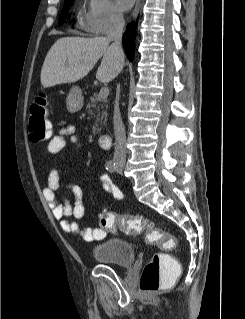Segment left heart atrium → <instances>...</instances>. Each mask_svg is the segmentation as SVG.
I'll use <instances>...</instances> for the list:
<instances>
[{
  "mask_svg": "<svg viewBox=\"0 0 245 319\" xmlns=\"http://www.w3.org/2000/svg\"><path fill=\"white\" fill-rule=\"evenodd\" d=\"M116 2L122 11H127L133 6L135 0H116Z\"/></svg>",
  "mask_w": 245,
  "mask_h": 319,
  "instance_id": "left-heart-atrium-1",
  "label": "left heart atrium"
}]
</instances>
